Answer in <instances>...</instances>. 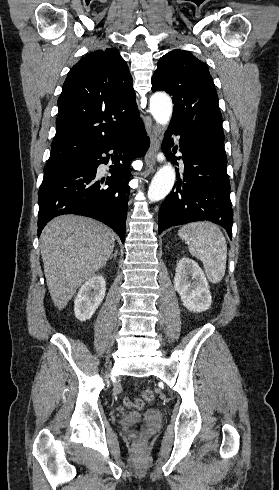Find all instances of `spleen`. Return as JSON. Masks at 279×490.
<instances>
[{"mask_svg":"<svg viewBox=\"0 0 279 490\" xmlns=\"http://www.w3.org/2000/svg\"><path fill=\"white\" fill-rule=\"evenodd\" d=\"M178 236L188 244L190 254L203 262L209 282H221L226 270L227 244L219 226L193 222L183 226Z\"/></svg>","mask_w":279,"mask_h":490,"instance_id":"1","label":"spleen"}]
</instances>
